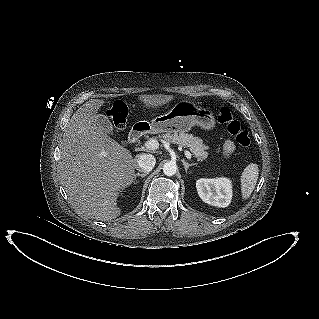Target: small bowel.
<instances>
[{
	"instance_id": "1",
	"label": "small bowel",
	"mask_w": 319,
	"mask_h": 319,
	"mask_svg": "<svg viewBox=\"0 0 319 319\" xmlns=\"http://www.w3.org/2000/svg\"><path fill=\"white\" fill-rule=\"evenodd\" d=\"M235 150V145L231 140H226L223 144L224 157L228 158L232 155Z\"/></svg>"
}]
</instances>
